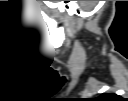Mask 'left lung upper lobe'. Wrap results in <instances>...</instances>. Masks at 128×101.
I'll list each match as a JSON object with an SVG mask.
<instances>
[{
    "label": "left lung upper lobe",
    "instance_id": "5c2ea615",
    "mask_svg": "<svg viewBox=\"0 0 128 101\" xmlns=\"http://www.w3.org/2000/svg\"><path fill=\"white\" fill-rule=\"evenodd\" d=\"M117 95L115 94H102L100 99H107L106 101H115L117 99Z\"/></svg>",
    "mask_w": 128,
    "mask_h": 101
}]
</instances>
